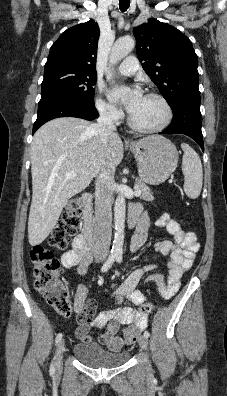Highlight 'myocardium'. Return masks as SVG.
<instances>
[{
  "label": "myocardium",
  "instance_id": "obj_1",
  "mask_svg": "<svg viewBox=\"0 0 227 396\" xmlns=\"http://www.w3.org/2000/svg\"><path fill=\"white\" fill-rule=\"evenodd\" d=\"M146 96L150 97V98H154L161 103V105L163 106L164 111H165V117H164L163 121L156 126L144 127V126L138 125L133 120V118L130 114L128 116V124L133 130L140 132V133L151 134V133L160 132V131L164 130L165 128H167L173 119L172 107H171L170 103L168 102V100L160 93L149 92L146 94Z\"/></svg>",
  "mask_w": 227,
  "mask_h": 396
}]
</instances>
